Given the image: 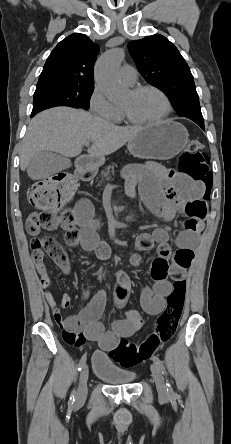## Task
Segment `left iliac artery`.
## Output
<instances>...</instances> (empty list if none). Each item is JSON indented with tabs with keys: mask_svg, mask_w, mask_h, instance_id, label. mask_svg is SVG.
Returning <instances> with one entry per match:
<instances>
[{
	"mask_svg": "<svg viewBox=\"0 0 231 444\" xmlns=\"http://www.w3.org/2000/svg\"><path fill=\"white\" fill-rule=\"evenodd\" d=\"M152 359L158 365V367L162 370V373L166 374L165 368H164L161 360L157 356H155V355L152 357ZM166 385H167V392L169 393V395H174V391H173V389H172V387H171V385H170L168 380H167Z\"/></svg>",
	"mask_w": 231,
	"mask_h": 444,
	"instance_id": "1",
	"label": "left iliac artery"
}]
</instances>
